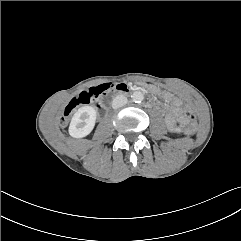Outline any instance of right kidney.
<instances>
[{"mask_svg":"<svg viewBox=\"0 0 241 241\" xmlns=\"http://www.w3.org/2000/svg\"><path fill=\"white\" fill-rule=\"evenodd\" d=\"M96 118L97 112L93 107L83 106L79 108L74 113L69 125L70 136L82 138L89 135L95 126Z\"/></svg>","mask_w":241,"mask_h":241,"instance_id":"right-kidney-1","label":"right kidney"}]
</instances>
